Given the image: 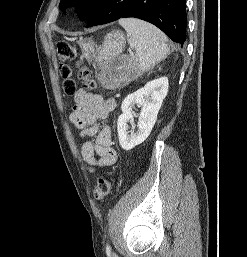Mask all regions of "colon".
<instances>
[{
    "label": "colon",
    "mask_w": 247,
    "mask_h": 257,
    "mask_svg": "<svg viewBox=\"0 0 247 257\" xmlns=\"http://www.w3.org/2000/svg\"><path fill=\"white\" fill-rule=\"evenodd\" d=\"M59 60V71L63 79V90L72 95L77 90V81H80L84 90H94L95 82L90 78L89 70L81 63L77 64V78L74 77L72 62L77 57V49L69 43H59L56 47ZM111 180L108 177H100L94 187L93 194L97 200H104L111 192Z\"/></svg>",
    "instance_id": "5ec220e1"
}]
</instances>
